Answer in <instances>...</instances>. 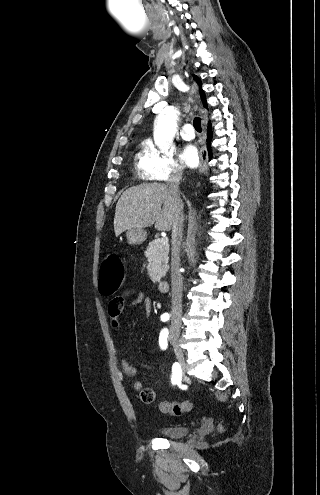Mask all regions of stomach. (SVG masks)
I'll return each instance as SVG.
<instances>
[{"mask_svg": "<svg viewBox=\"0 0 320 495\" xmlns=\"http://www.w3.org/2000/svg\"><path fill=\"white\" fill-rule=\"evenodd\" d=\"M126 237L129 244L140 245L146 240L147 233L144 229L132 228L127 230Z\"/></svg>", "mask_w": 320, "mask_h": 495, "instance_id": "obj_1", "label": "stomach"}]
</instances>
